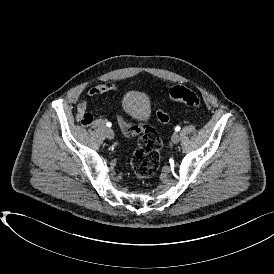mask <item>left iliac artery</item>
I'll use <instances>...</instances> for the list:
<instances>
[{
	"label": "left iliac artery",
	"mask_w": 274,
	"mask_h": 274,
	"mask_svg": "<svg viewBox=\"0 0 274 274\" xmlns=\"http://www.w3.org/2000/svg\"><path fill=\"white\" fill-rule=\"evenodd\" d=\"M175 131H177V132L180 131V127H179V126H176V127H175Z\"/></svg>",
	"instance_id": "obj_1"
}]
</instances>
